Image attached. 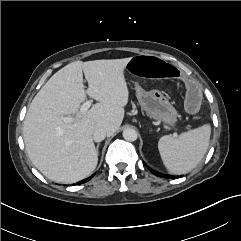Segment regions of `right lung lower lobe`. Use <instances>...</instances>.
<instances>
[{
    "label": "right lung lower lobe",
    "instance_id": "right-lung-lower-lobe-1",
    "mask_svg": "<svg viewBox=\"0 0 241 241\" xmlns=\"http://www.w3.org/2000/svg\"><path fill=\"white\" fill-rule=\"evenodd\" d=\"M88 180H90V178L81 181L80 184L85 183V182H87Z\"/></svg>",
    "mask_w": 241,
    "mask_h": 241
}]
</instances>
